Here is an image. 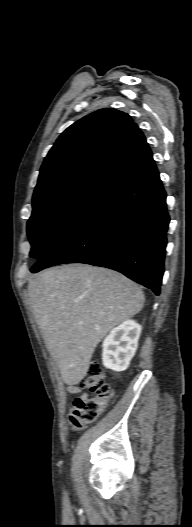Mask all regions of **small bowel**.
<instances>
[{
	"label": "small bowel",
	"mask_w": 192,
	"mask_h": 527,
	"mask_svg": "<svg viewBox=\"0 0 192 527\" xmlns=\"http://www.w3.org/2000/svg\"><path fill=\"white\" fill-rule=\"evenodd\" d=\"M70 391H72V392H77L78 389L75 388V387H71V388H70ZM82 397H83V398H87V395H86V394H83Z\"/></svg>",
	"instance_id": "1"
}]
</instances>
